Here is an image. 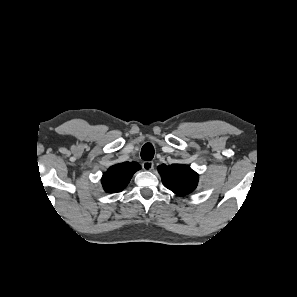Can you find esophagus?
I'll list each match as a JSON object with an SVG mask.
<instances>
[{
  "instance_id": "34e87169",
  "label": "esophagus",
  "mask_w": 297,
  "mask_h": 297,
  "mask_svg": "<svg viewBox=\"0 0 297 297\" xmlns=\"http://www.w3.org/2000/svg\"><path fill=\"white\" fill-rule=\"evenodd\" d=\"M142 167H143V169H145V170H151V169H153V167H154V163H153L152 161H144V162L142 163Z\"/></svg>"
}]
</instances>
